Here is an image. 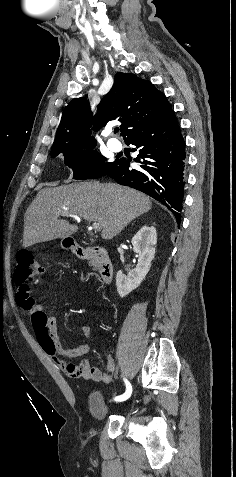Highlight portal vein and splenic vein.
Wrapping results in <instances>:
<instances>
[{
  "label": "portal vein and splenic vein",
  "mask_w": 236,
  "mask_h": 477,
  "mask_svg": "<svg viewBox=\"0 0 236 477\" xmlns=\"http://www.w3.org/2000/svg\"><path fill=\"white\" fill-rule=\"evenodd\" d=\"M61 215L65 216V217H71V218H74V219L80 221V218L77 215L70 214V213L65 212V211L61 212ZM90 228L94 229V230H100L101 225L99 223H93Z\"/></svg>",
  "instance_id": "1"
}]
</instances>
